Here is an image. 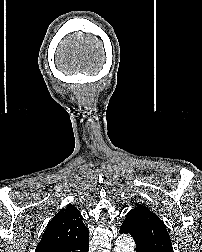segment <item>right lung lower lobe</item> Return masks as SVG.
Here are the masks:
<instances>
[{
    "label": "right lung lower lobe",
    "instance_id": "obj_1",
    "mask_svg": "<svg viewBox=\"0 0 202 252\" xmlns=\"http://www.w3.org/2000/svg\"><path fill=\"white\" fill-rule=\"evenodd\" d=\"M88 248H89V246L87 247V250H86V252H88Z\"/></svg>",
    "mask_w": 202,
    "mask_h": 252
}]
</instances>
